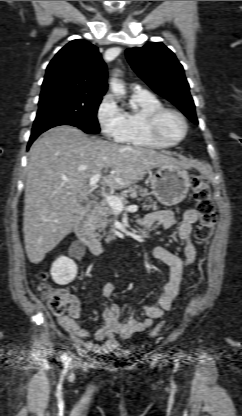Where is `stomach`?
I'll use <instances>...</instances> for the list:
<instances>
[{"instance_id":"1","label":"stomach","mask_w":242,"mask_h":416,"mask_svg":"<svg viewBox=\"0 0 242 416\" xmlns=\"http://www.w3.org/2000/svg\"><path fill=\"white\" fill-rule=\"evenodd\" d=\"M150 181L152 194L165 206L182 202L190 187V178L186 169L174 164L159 166Z\"/></svg>"}]
</instances>
